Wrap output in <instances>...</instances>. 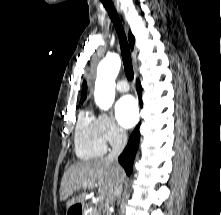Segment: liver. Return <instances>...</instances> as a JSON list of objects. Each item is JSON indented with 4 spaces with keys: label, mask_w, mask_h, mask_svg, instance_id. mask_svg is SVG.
<instances>
[{
    "label": "liver",
    "mask_w": 221,
    "mask_h": 215,
    "mask_svg": "<svg viewBox=\"0 0 221 215\" xmlns=\"http://www.w3.org/2000/svg\"><path fill=\"white\" fill-rule=\"evenodd\" d=\"M124 177L123 168L115 162L107 161L106 158L74 164L63 175L60 200L65 201L75 191L83 189L84 192L67 201L66 206L70 208L83 201L87 195L86 188H90L88 184L94 185L98 182L100 197L111 203L115 199V187L123 182Z\"/></svg>",
    "instance_id": "obj_1"
}]
</instances>
